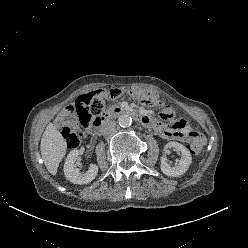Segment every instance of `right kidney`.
I'll return each instance as SVG.
<instances>
[{
    "instance_id": "obj_1",
    "label": "right kidney",
    "mask_w": 248,
    "mask_h": 248,
    "mask_svg": "<svg viewBox=\"0 0 248 248\" xmlns=\"http://www.w3.org/2000/svg\"><path fill=\"white\" fill-rule=\"evenodd\" d=\"M79 155L80 152L77 149L70 151L64 163V174L66 179L74 184H88L97 176L98 166L91 164L88 171L85 174H81L79 169L74 165Z\"/></svg>"
}]
</instances>
